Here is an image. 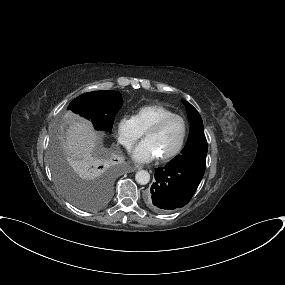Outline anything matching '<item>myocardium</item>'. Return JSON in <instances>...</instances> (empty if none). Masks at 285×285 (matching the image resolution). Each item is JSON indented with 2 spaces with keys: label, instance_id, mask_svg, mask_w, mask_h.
Instances as JSON below:
<instances>
[{
  "label": "myocardium",
  "instance_id": "obj_1",
  "mask_svg": "<svg viewBox=\"0 0 285 285\" xmlns=\"http://www.w3.org/2000/svg\"><path fill=\"white\" fill-rule=\"evenodd\" d=\"M173 119H179L182 122V125H183L182 138H181L178 146L172 152H170L167 155L158 156L160 161H169V160L175 158L182 151V149L185 145L187 133H188V126H187V122H186L185 118L182 117L181 115H178V114H172V115L163 117L160 120H158L157 122H155L153 125H151L143 133L144 137H146L150 133H155V132L159 131L160 129H162L169 121H171Z\"/></svg>",
  "mask_w": 285,
  "mask_h": 285
}]
</instances>
